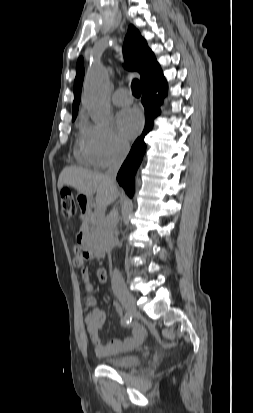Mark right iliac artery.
Masks as SVG:
<instances>
[{
	"label": "right iliac artery",
	"mask_w": 253,
	"mask_h": 413,
	"mask_svg": "<svg viewBox=\"0 0 253 413\" xmlns=\"http://www.w3.org/2000/svg\"><path fill=\"white\" fill-rule=\"evenodd\" d=\"M132 318L129 315H125L123 318L124 323L129 324L131 322Z\"/></svg>",
	"instance_id": "obj_1"
}]
</instances>
